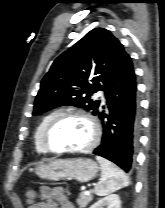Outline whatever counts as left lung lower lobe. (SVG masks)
<instances>
[{
  "mask_svg": "<svg viewBox=\"0 0 165 208\" xmlns=\"http://www.w3.org/2000/svg\"><path fill=\"white\" fill-rule=\"evenodd\" d=\"M107 110L99 107L103 136L93 153L104 157L125 172H131L140 129L137 83L128 56L104 91ZM107 119V120H104Z\"/></svg>",
  "mask_w": 165,
  "mask_h": 208,
  "instance_id": "left-lung-lower-lobe-1",
  "label": "left lung lower lobe"
}]
</instances>
